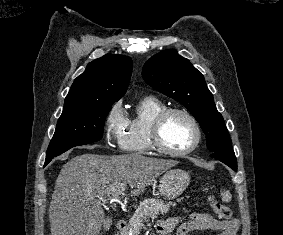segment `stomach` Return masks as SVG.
<instances>
[{"label":"stomach","instance_id":"stomach-1","mask_svg":"<svg viewBox=\"0 0 283 235\" xmlns=\"http://www.w3.org/2000/svg\"><path fill=\"white\" fill-rule=\"evenodd\" d=\"M190 183V175L181 169L166 171L159 181V192L168 199L180 196ZM127 235V232H125Z\"/></svg>","mask_w":283,"mask_h":235}]
</instances>
